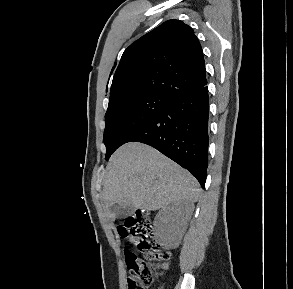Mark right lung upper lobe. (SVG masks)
<instances>
[{
    "label": "right lung upper lobe",
    "mask_w": 293,
    "mask_h": 289,
    "mask_svg": "<svg viewBox=\"0 0 293 289\" xmlns=\"http://www.w3.org/2000/svg\"><path fill=\"white\" fill-rule=\"evenodd\" d=\"M206 84L203 51L193 29L180 20H168L124 51L109 105L146 94L174 101Z\"/></svg>",
    "instance_id": "1"
}]
</instances>
